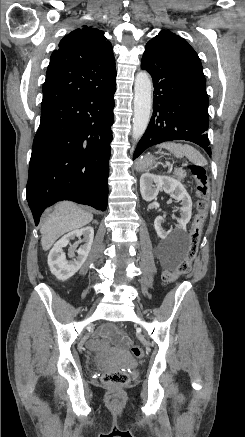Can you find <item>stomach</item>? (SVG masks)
<instances>
[{
	"label": "stomach",
	"mask_w": 245,
	"mask_h": 437,
	"mask_svg": "<svg viewBox=\"0 0 245 437\" xmlns=\"http://www.w3.org/2000/svg\"><path fill=\"white\" fill-rule=\"evenodd\" d=\"M155 157L147 154L144 157H142L141 159L138 160L137 164H136V169L138 171H145L148 168H151L152 165L155 163Z\"/></svg>",
	"instance_id": "0dacf381"
}]
</instances>
